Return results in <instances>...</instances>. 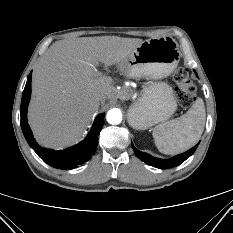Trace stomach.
Listing matches in <instances>:
<instances>
[{
	"label": "stomach",
	"mask_w": 233,
	"mask_h": 233,
	"mask_svg": "<svg viewBox=\"0 0 233 233\" xmlns=\"http://www.w3.org/2000/svg\"><path fill=\"white\" fill-rule=\"evenodd\" d=\"M180 57L178 44L173 38H151L121 61L120 70L131 78L159 80L172 74ZM176 109L172 87L165 82H149L130 106L127 119L134 129L145 130L168 120Z\"/></svg>",
	"instance_id": "obj_1"
}]
</instances>
